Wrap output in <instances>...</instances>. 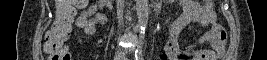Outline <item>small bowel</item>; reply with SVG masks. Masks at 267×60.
I'll use <instances>...</instances> for the list:
<instances>
[{
    "mask_svg": "<svg viewBox=\"0 0 267 60\" xmlns=\"http://www.w3.org/2000/svg\"><path fill=\"white\" fill-rule=\"evenodd\" d=\"M184 8L183 13L171 25L166 43L165 50L159 55V60H216L222 57L224 53L227 34L222 25L218 22L213 10V1L198 3L196 1L181 0ZM81 9L77 18V27L82 29L86 36L95 33L96 27L106 22V16L97 12L98 6L105 9V2L100 0L90 5H76ZM84 22L85 27L80 24ZM197 23L202 26H209V31L201 35L193 43L180 50L178 46V36L181 31L189 24ZM202 43H208L210 48L195 51V47Z\"/></svg>",
    "mask_w": 267,
    "mask_h": 60,
    "instance_id": "obj_1",
    "label": "small bowel"
}]
</instances>
